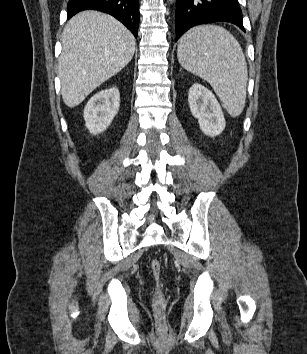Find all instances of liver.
I'll return each mask as SVG.
<instances>
[{
	"instance_id": "liver-1",
	"label": "liver",
	"mask_w": 307,
	"mask_h": 354,
	"mask_svg": "<svg viewBox=\"0 0 307 354\" xmlns=\"http://www.w3.org/2000/svg\"><path fill=\"white\" fill-rule=\"evenodd\" d=\"M59 57L61 94L68 107L79 105L98 86L120 72L133 58L136 40L114 17L83 11L62 33Z\"/></svg>"
}]
</instances>
